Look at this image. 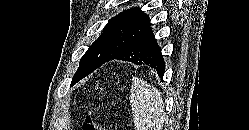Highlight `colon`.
<instances>
[{
    "instance_id": "obj_1",
    "label": "colon",
    "mask_w": 249,
    "mask_h": 130,
    "mask_svg": "<svg viewBox=\"0 0 249 130\" xmlns=\"http://www.w3.org/2000/svg\"><path fill=\"white\" fill-rule=\"evenodd\" d=\"M82 130H105L98 116L93 111H90L85 117Z\"/></svg>"
}]
</instances>
